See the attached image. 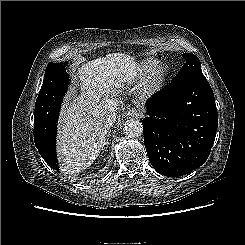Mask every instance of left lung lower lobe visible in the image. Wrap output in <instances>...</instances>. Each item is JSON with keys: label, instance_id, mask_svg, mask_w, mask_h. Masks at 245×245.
Returning <instances> with one entry per match:
<instances>
[{"label": "left lung lower lobe", "instance_id": "left-lung-lower-lobe-1", "mask_svg": "<svg viewBox=\"0 0 245 245\" xmlns=\"http://www.w3.org/2000/svg\"><path fill=\"white\" fill-rule=\"evenodd\" d=\"M146 109L144 143L158 173L179 177L204 164L218 127L214 94L204 75L168 86L148 100Z\"/></svg>", "mask_w": 245, "mask_h": 245}]
</instances>
